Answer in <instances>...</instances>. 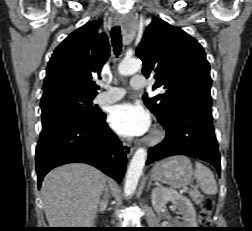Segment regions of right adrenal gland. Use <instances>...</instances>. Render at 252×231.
<instances>
[{
  "label": "right adrenal gland",
  "mask_w": 252,
  "mask_h": 231,
  "mask_svg": "<svg viewBox=\"0 0 252 231\" xmlns=\"http://www.w3.org/2000/svg\"><path fill=\"white\" fill-rule=\"evenodd\" d=\"M105 194H106V197L109 196L108 187L105 188Z\"/></svg>",
  "instance_id": "2a0ac1e0"
}]
</instances>
